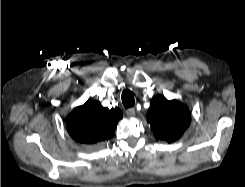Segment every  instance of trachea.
I'll return each instance as SVG.
<instances>
[{
    "label": "trachea",
    "instance_id": "1",
    "mask_svg": "<svg viewBox=\"0 0 245 187\" xmlns=\"http://www.w3.org/2000/svg\"><path fill=\"white\" fill-rule=\"evenodd\" d=\"M122 103L126 108H130L134 105L135 101H134V95L130 90H124L122 92Z\"/></svg>",
    "mask_w": 245,
    "mask_h": 187
}]
</instances>
